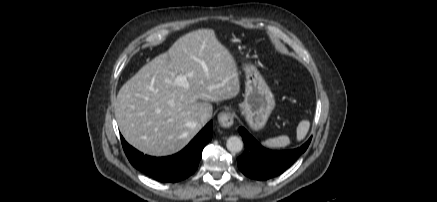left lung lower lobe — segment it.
<instances>
[{
	"label": "left lung lower lobe",
	"instance_id": "obj_1",
	"mask_svg": "<svg viewBox=\"0 0 437 202\" xmlns=\"http://www.w3.org/2000/svg\"><path fill=\"white\" fill-rule=\"evenodd\" d=\"M246 148L238 157L237 164L240 171L247 177L256 180H267L282 174L294 161L306 151L311 138L301 147L293 150L273 151L262 147L245 128L240 127Z\"/></svg>",
	"mask_w": 437,
	"mask_h": 202
}]
</instances>
